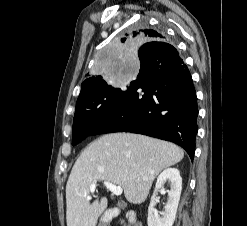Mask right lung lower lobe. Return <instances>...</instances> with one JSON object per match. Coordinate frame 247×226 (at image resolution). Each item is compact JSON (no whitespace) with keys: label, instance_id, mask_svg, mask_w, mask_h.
Masks as SVG:
<instances>
[{"label":"right lung lower lobe","instance_id":"98d812e1","mask_svg":"<svg viewBox=\"0 0 247 226\" xmlns=\"http://www.w3.org/2000/svg\"><path fill=\"white\" fill-rule=\"evenodd\" d=\"M137 79L95 128L144 134L180 145L193 160L197 134V99L189 69L165 41L143 44ZM91 135V136H92Z\"/></svg>","mask_w":247,"mask_h":226}]
</instances>
